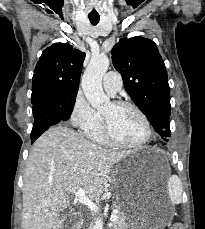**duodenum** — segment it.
Wrapping results in <instances>:
<instances>
[{
    "mask_svg": "<svg viewBox=\"0 0 205 229\" xmlns=\"http://www.w3.org/2000/svg\"><path fill=\"white\" fill-rule=\"evenodd\" d=\"M81 222V216L79 215L78 216V219H77V224H79ZM71 229H76V227L74 226V227H72Z\"/></svg>",
    "mask_w": 205,
    "mask_h": 229,
    "instance_id": "410a0bca",
    "label": "duodenum"
}]
</instances>
